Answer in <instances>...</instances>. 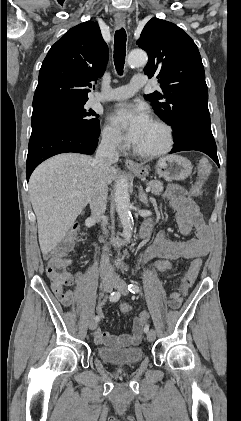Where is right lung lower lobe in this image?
<instances>
[{
    "mask_svg": "<svg viewBox=\"0 0 241 421\" xmlns=\"http://www.w3.org/2000/svg\"><path fill=\"white\" fill-rule=\"evenodd\" d=\"M97 144L98 137L63 126H48L32 132L26 164L27 181L33 170L49 157L66 152L92 154Z\"/></svg>",
    "mask_w": 241,
    "mask_h": 421,
    "instance_id": "obj_1",
    "label": "right lung lower lobe"
}]
</instances>
